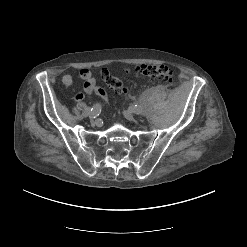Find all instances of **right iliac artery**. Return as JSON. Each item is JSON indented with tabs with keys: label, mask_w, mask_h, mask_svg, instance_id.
<instances>
[{
	"label": "right iliac artery",
	"mask_w": 247,
	"mask_h": 247,
	"mask_svg": "<svg viewBox=\"0 0 247 247\" xmlns=\"http://www.w3.org/2000/svg\"><path fill=\"white\" fill-rule=\"evenodd\" d=\"M89 111L93 114L94 118H96L101 111V105L97 103L89 108Z\"/></svg>",
	"instance_id": "right-iliac-artery-1"
}]
</instances>
